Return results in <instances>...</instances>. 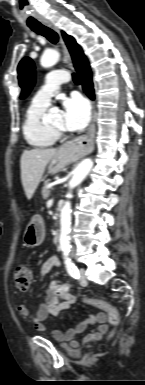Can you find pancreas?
I'll return each instance as SVG.
<instances>
[{"label":"pancreas","mask_w":145,"mask_h":385,"mask_svg":"<svg viewBox=\"0 0 145 385\" xmlns=\"http://www.w3.org/2000/svg\"><path fill=\"white\" fill-rule=\"evenodd\" d=\"M43 199H47L50 196V190L47 186H44L42 189Z\"/></svg>","instance_id":"1"}]
</instances>
